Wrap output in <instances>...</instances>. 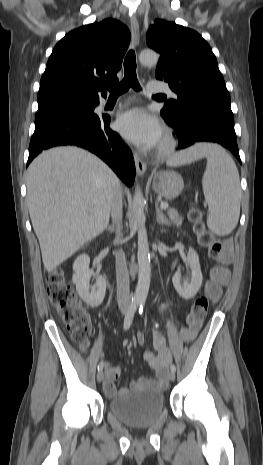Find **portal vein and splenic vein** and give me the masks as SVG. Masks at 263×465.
Instances as JSON below:
<instances>
[{
  "label": "portal vein and splenic vein",
  "mask_w": 263,
  "mask_h": 465,
  "mask_svg": "<svg viewBox=\"0 0 263 465\" xmlns=\"http://www.w3.org/2000/svg\"><path fill=\"white\" fill-rule=\"evenodd\" d=\"M160 208L163 209V210H166V209H168V204L167 203H161Z\"/></svg>",
  "instance_id": "18ae733b"
}]
</instances>
